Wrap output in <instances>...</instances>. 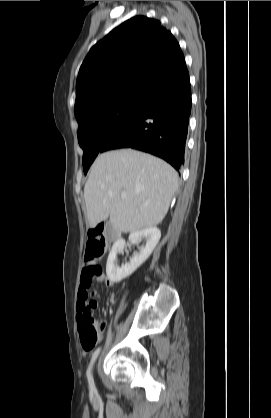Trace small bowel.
I'll list each match as a JSON object with an SVG mask.
<instances>
[{"label": "small bowel", "mask_w": 271, "mask_h": 418, "mask_svg": "<svg viewBox=\"0 0 271 418\" xmlns=\"http://www.w3.org/2000/svg\"><path fill=\"white\" fill-rule=\"evenodd\" d=\"M87 268H88V265H87V262H86L85 266L83 268L82 274H81L80 290H79V293H78V298H79V301H78V304H77L78 317H79V314H80L81 310L84 314H91L93 312V310L97 307V303L93 299H88L86 301V305H84L85 301L82 298V294L89 287V286L85 285V283H84V278L86 277V275L88 273ZM97 281L100 282V283L107 284V285L111 284L110 281L104 275L97 278ZM92 295H95V293H92ZM112 298H113V296H111V299Z\"/></svg>", "instance_id": "c3829d8e"}]
</instances>
